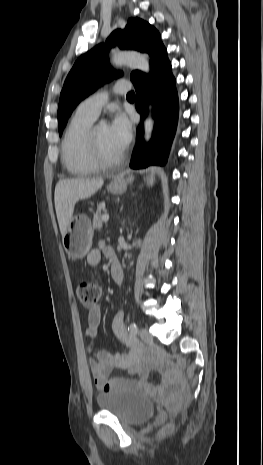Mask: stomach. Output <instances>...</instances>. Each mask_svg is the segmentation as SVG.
Wrapping results in <instances>:
<instances>
[{"label": "stomach", "mask_w": 263, "mask_h": 465, "mask_svg": "<svg viewBox=\"0 0 263 465\" xmlns=\"http://www.w3.org/2000/svg\"><path fill=\"white\" fill-rule=\"evenodd\" d=\"M131 182L132 177L122 173L112 178L108 189L112 194H122ZM92 239L93 229L90 219L86 215H78L70 219L62 243L71 258L82 259L90 251Z\"/></svg>", "instance_id": "obj_1"}]
</instances>
